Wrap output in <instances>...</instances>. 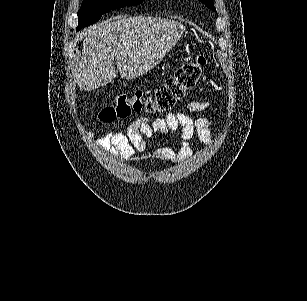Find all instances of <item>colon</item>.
<instances>
[{
	"label": "colon",
	"mask_w": 307,
	"mask_h": 301,
	"mask_svg": "<svg viewBox=\"0 0 307 301\" xmlns=\"http://www.w3.org/2000/svg\"><path fill=\"white\" fill-rule=\"evenodd\" d=\"M205 64L206 58L203 55L183 63L155 90L153 95H148L141 90L132 94H118L114 103L100 110L99 120L108 123L127 118L132 113H160L171 110L188 91L196 86Z\"/></svg>",
	"instance_id": "colon-1"
}]
</instances>
